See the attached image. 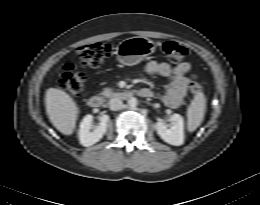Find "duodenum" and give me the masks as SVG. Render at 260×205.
I'll list each match as a JSON object with an SVG mask.
<instances>
[{"label": "duodenum", "mask_w": 260, "mask_h": 205, "mask_svg": "<svg viewBox=\"0 0 260 205\" xmlns=\"http://www.w3.org/2000/svg\"><path fill=\"white\" fill-rule=\"evenodd\" d=\"M140 94L141 91H132V90H118L114 91L110 97L118 99H130L136 95ZM105 97L102 95H92L88 98L87 103L91 108H101L104 105Z\"/></svg>", "instance_id": "1"}]
</instances>
